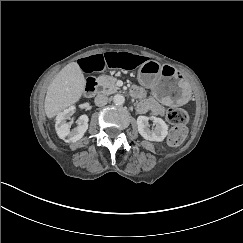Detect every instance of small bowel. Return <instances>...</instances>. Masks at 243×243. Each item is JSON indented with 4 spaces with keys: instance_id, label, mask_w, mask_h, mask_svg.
<instances>
[{
    "instance_id": "small-bowel-1",
    "label": "small bowel",
    "mask_w": 243,
    "mask_h": 243,
    "mask_svg": "<svg viewBox=\"0 0 243 243\" xmlns=\"http://www.w3.org/2000/svg\"><path fill=\"white\" fill-rule=\"evenodd\" d=\"M146 58L142 55L130 52H104L94 54L80 60V66L85 72H99L106 68H118L132 70L137 68ZM135 94L141 96L142 91L135 89ZM141 113L151 111L155 115H161L164 112L163 107L154 100H145L138 106Z\"/></svg>"
}]
</instances>
